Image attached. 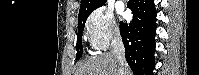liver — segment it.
Here are the masks:
<instances>
[{
  "label": "liver",
  "mask_w": 199,
  "mask_h": 75,
  "mask_svg": "<svg viewBox=\"0 0 199 75\" xmlns=\"http://www.w3.org/2000/svg\"><path fill=\"white\" fill-rule=\"evenodd\" d=\"M118 69L117 60L112 52H108L82 62L77 68L75 75H117ZM124 75H132L127 65Z\"/></svg>",
  "instance_id": "6515ba94"
}]
</instances>
